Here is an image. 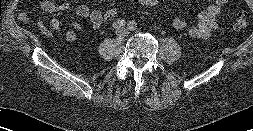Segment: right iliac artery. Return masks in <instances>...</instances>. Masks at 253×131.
<instances>
[{"mask_svg":"<svg viewBox=\"0 0 253 131\" xmlns=\"http://www.w3.org/2000/svg\"><path fill=\"white\" fill-rule=\"evenodd\" d=\"M125 24V20H116L115 22H113L112 27L114 29H121L125 26Z\"/></svg>","mask_w":253,"mask_h":131,"instance_id":"right-iliac-artery-1","label":"right iliac artery"}]
</instances>
